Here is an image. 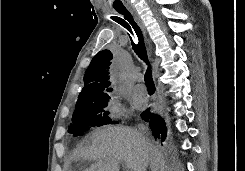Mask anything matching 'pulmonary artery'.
Segmentation results:
<instances>
[{
    "label": "pulmonary artery",
    "mask_w": 245,
    "mask_h": 171,
    "mask_svg": "<svg viewBox=\"0 0 245 171\" xmlns=\"http://www.w3.org/2000/svg\"><path fill=\"white\" fill-rule=\"evenodd\" d=\"M147 92V89L144 85L142 84H137L135 87H134V93L136 95H144L146 94Z\"/></svg>",
    "instance_id": "e3ab8cb5"
}]
</instances>
